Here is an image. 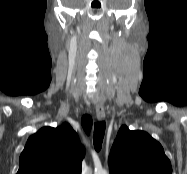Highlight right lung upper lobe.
I'll return each mask as SVG.
<instances>
[{"instance_id":"1","label":"right lung upper lobe","mask_w":187,"mask_h":174,"mask_svg":"<svg viewBox=\"0 0 187 174\" xmlns=\"http://www.w3.org/2000/svg\"><path fill=\"white\" fill-rule=\"evenodd\" d=\"M91 124L85 128L88 133ZM85 149L68 123L32 135L20 155L17 174H81Z\"/></svg>"}]
</instances>
